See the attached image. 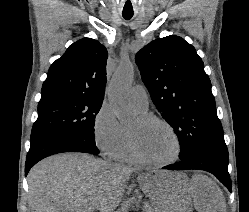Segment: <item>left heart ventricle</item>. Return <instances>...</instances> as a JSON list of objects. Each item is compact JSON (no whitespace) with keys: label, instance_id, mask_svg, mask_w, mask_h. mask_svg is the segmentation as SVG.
I'll use <instances>...</instances> for the list:
<instances>
[{"label":"left heart ventricle","instance_id":"left-heart-ventricle-1","mask_svg":"<svg viewBox=\"0 0 249 212\" xmlns=\"http://www.w3.org/2000/svg\"><path fill=\"white\" fill-rule=\"evenodd\" d=\"M128 131L139 152L148 160L155 162L169 161L177 154L176 139L161 124H143L137 119Z\"/></svg>","mask_w":249,"mask_h":212}]
</instances>
